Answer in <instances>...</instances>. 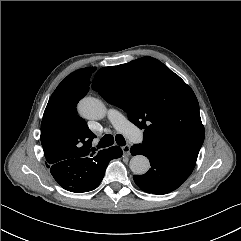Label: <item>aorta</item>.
I'll use <instances>...</instances> for the list:
<instances>
[{
	"instance_id": "obj_1",
	"label": "aorta",
	"mask_w": 241,
	"mask_h": 241,
	"mask_svg": "<svg viewBox=\"0 0 241 241\" xmlns=\"http://www.w3.org/2000/svg\"><path fill=\"white\" fill-rule=\"evenodd\" d=\"M79 113L92 120H100L105 117L107 108L104 103L94 97H84L78 104ZM131 171L136 175L145 174L149 168V159L144 155L133 156L129 163Z\"/></svg>"
}]
</instances>
